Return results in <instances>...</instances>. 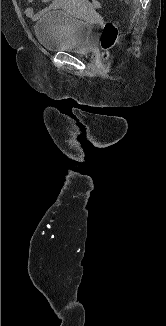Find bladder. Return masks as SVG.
<instances>
[{
    "label": "bladder",
    "instance_id": "31cf9c89",
    "mask_svg": "<svg viewBox=\"0 0 166 326\" xmlns=\"http://www.w3.org/2000/svg\"><path fill=\"white\" fill-rule=\"evenodd\" d=\"M81 9L95 12L88 4ZM39 44L48 51H69L87 55L91 52V30L88 24L63 11H48L35 23Z\"/></svg>",
    "mask_w": 166,
    "mask_h": 326
}]
</instances>
